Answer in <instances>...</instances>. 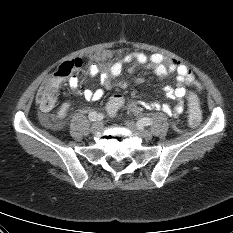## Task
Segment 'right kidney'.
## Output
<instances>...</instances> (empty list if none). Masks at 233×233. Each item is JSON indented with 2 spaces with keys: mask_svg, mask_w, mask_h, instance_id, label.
Here are the masks:
<instances>
[{
  "mask_svg": "<svg viewBox=\"0 0 233 233\" xmlns=\"http://www.w3.org/2000/svg\"><path fill=\"white\" fill-rule=\"evenodd\" d=\"M69 106H70V104L68 102L64 103L57 113V118L63 119L66 116V112H67Z\"/></svg>",
  "mask_w": 233,
  "mask_h": 233,
  "instance_id": "obj_1",
  "label": "right kidney"
}]
</instances>
